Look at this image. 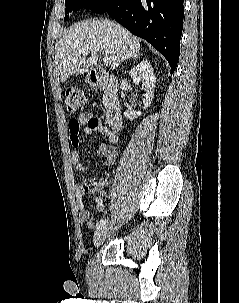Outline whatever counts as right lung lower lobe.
<instances>
[{
  "instance_id": "1",
  "label": "right lung lower lobe",
  "mask_w": 239,
  "mask_h": 303,
  "mask_svg": "<svg viewBox=\"0 0 239 303\" xmlns=\"http://www.w3.org/2000/svg\"><path fill=\"white\" fill-rule=\"evenodd\" d=\"M94 13L107 12L134 35L147 40L169 62L171 74L180 54L183 0H106Z\"/></svg>"
}]
</instances>
